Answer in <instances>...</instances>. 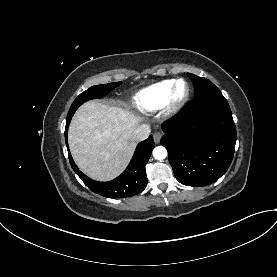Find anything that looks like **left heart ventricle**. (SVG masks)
I'll use <instances>...</instances> for the list:
<instances>
[{"label":"left heart ventricle","mask_w":277,"mask_h":277,"mask_svg":"<svg viewBox=\"0 0 277 277\" xmlns=\"http://www.w3.org/2000/svg\"><path fill=\"white\" fill-rule=\"evenodd\" d=\"M184 90H185V86H184L183 84H180V85H179V93H180V94L183 93Z\"/></svg>","instance_id":"1"}]
</instances>
